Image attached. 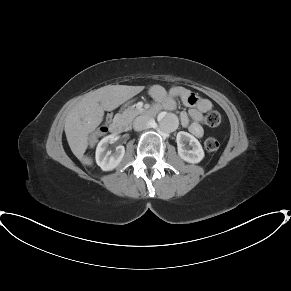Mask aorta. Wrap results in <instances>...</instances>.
<instances>
[{"label":"aorta","mask_w":291,"mask_h":291,"mask_svg":"<svg viewBox=\"0 0 291 291\" xmlns=\"http://www.w3.org/2000/svg\"><path fill=\"white\" fill-rule=\"evenodd\" d=\"M178 118L174 114H164L159 117L160 129L165 133H171L178 127Z\"/></svg>","instance_id":"aorta-1"}]
</instances>
